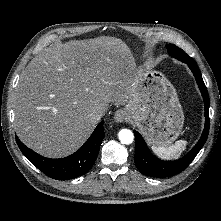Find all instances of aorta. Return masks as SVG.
Segmentation results:
<instances>
[{"instance_id":"762f6f07","label":"aorta","mask_w":221,"mask_h":221,"mask_svg":"<svg viewBox=\"0 0 221 221\" xmlns=\"http://www.w3.org/2000/svg\"><path fill=\"white\" fill-rule=\"evenodd\" d=\"M119 140L122 144H131L134 140V135L131 130L122 129L118 133Z\"/></svg>"}]
</instances>
